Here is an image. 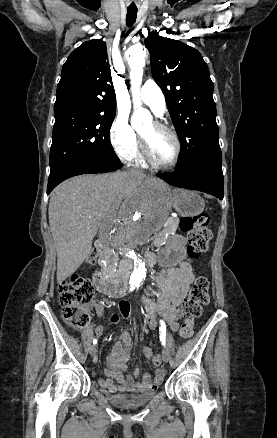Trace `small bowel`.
<instances>
[{"label": "small bowel", "instance_id": "obj_1", "mask_svg": "<svg viewBox=\"0 0 277 438\" xmlns=\"http://www.w3.org/2000/svg\"><path fill=\"white\" fill-rule=\"evenodd\" d=\"M195 279L191 264L180 259L176 267L169 268L156 275L153 286L144 295L143 304L149 316L148 327L154 329L157 326L156 317H161L168 325L171 331L178 329V307L188 293L190 285ZM159 291L157 299L152 295ZM97 312L103 311L101 303L96 304ZM129 316L128 310L123 314ZM104 331L103 326L96 327V334L101 335ZM146 358L150 359L151 350L144 346L142 348ZM131 352V335L128 331L120 334L119 339L112 345L108 356V367L105 369V379H100V386L108 389L109 392L115 393L118 390L142 392L154 390L163 380V368H157L154 378L148 373H141L137 368L133 375H125L127 362ZM116 381L117 383H115Z\"/></svg>", "mask_w": 277, "mask_h": 438}]
</instances>
